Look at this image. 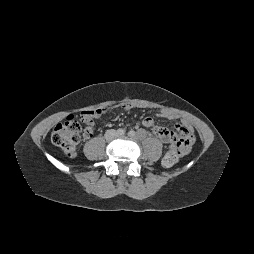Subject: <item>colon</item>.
<instances>
[{
	"instance_id": "1",
	"label": "colon",
	"mask_w": 254,
	"mask_h": 254,
	"mask_svg": "<svg viewBox=\"0 0 254 254\" xmlns=\"http://www.w3.org/2000/svg\"><path fill=\"white\" fill-rule=\"evenodd\" d=\"M100 112V110L89 111L83 114L84 116L93 115ZM92 133V126L88 125L82 127L75 117H69L64 122L59 123L53 130L51 135L52 142L67 156H74L77 153L79 144L83 137H88ZM181 155L175 146L166 153L163 163L168 166L176 164Z\"/></svg>"
}]
</instances>
